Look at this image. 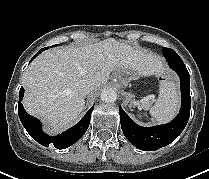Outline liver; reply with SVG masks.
I'll return each mask as SVG.
<instances>
[{"label": "liver", "instance_id": "6515ba94", "mask_svg": "<svg viewBox=\"0 0 209 179\" xmlns=\"http://www.w3.org/2000/svg\"><path fill=\"white\" fill-rule=\"evenodd\" d=\"M133 70L139 76L163 70L161 58L113 38L85 46H65L41 53L23 73L25 110L46 123L49 134L76 123L85 106L83 89L104 85L111 72Z\"/></svg>", "mask_w": 209, "mask_h": 179}]
</instances>
